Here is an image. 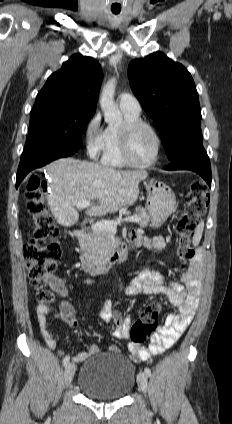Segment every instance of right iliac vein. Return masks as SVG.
<instances>
[{
    "label": "right iliac vein",
    "mask_w": 232,
    "mask_h": 424,
    "mask_svg": "<svg viewBox=\"0 0 232 424\" xmlns=\"http://www.w3.org/2000/svg\"><path fill=\"white\" fill-rule=\"evenodd\" d=\"M74 373H75V365L73 363H69L66 366L65 372H64V380L66 385H69L72 382Z\"/></svg>",
    "instance_id": "right-iliac-vein-1"
}]
</instances>
